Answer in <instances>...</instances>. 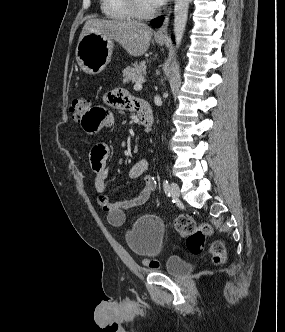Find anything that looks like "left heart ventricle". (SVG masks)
I'll use <instances>...</instances> for the list:
<instances>
[{
	"label": "left heart ventricle",
	"mask_w": 285,
	"mask_h": 332,
	"mask_svg": "<svg viewBox=\"0 0 285 332\" xmlns=\"http://www.w3.org/2000/svg\"><path fill=\"white\" fill-rule=\"evenodd\" d=\"M140 1V5L143 9L145 10H150L153 9L154 7L151 5L149 0H139Z\"/></svg>",
	"instance_id": "left-heart-ventricle-1"
}]
</instances>
